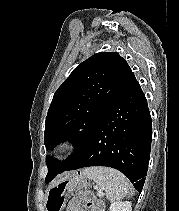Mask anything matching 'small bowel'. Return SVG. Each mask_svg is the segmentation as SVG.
Segmentation results:
<instances>
[{
    "mask_svg": "<svg viewBox=\"0 0 179 211\" xmlns=\"http://www.w3.org/2000/svg\"><path fill=\"white\" fill-rule=\"evenodd\" d=\"M87 199L92 200L91 193L88 190H82L78 192L75 195L74 199L67 205L65 211H85L84 208L82 207V203ZM94 211H102V210L95 204Z\"/></svg>",
    "mask_w": 179,
    "mask_h": 211,
    "instance_id": "small-bowel-1",
    "label": "small bowel"
}]
</instances>
